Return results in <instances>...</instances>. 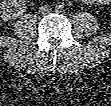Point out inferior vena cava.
Returning a JSON list of instances; mask_svg holds the SVG:
<instances>
[{
	"instance_id": "inferior-vena-cava-1",
	"label": "inferior vena cava",
	"mask_w": 111,
	"mask_h": 106,
	"mask_svg": "<svg viewBox=\"0 0 111 106\" xmlns=\"http://www.w3.org/2000/svg\"><path fill=\"white\" fill-rule=\"evenodd\" d=\"M52 11L51 7L48 6V5H44V6H41L39 8V12L43 15L47 14V13H50Z\"/></svg>"
}]
</instances>
